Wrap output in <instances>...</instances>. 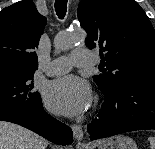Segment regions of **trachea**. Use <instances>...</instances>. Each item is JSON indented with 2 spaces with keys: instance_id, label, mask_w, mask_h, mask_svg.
Returning a JSON list of instances; mask_svg holds the SVG:
<instances>
[{
  "instance_id": "3493384b",
  "label": "trachea",
  "mask_w": 155,
  "mask_h": 149,
  "mask_svg": "<svg viewBox=\"0 0 155 149\" xmlns=\"http://www.w3.org/2000/svg\"><path fill=\"white\" fill-rule=\"evenodd\" d=\"M67 0H55V11L60 19H63L66 15Z\"/></svg>"
}]
</instances>
